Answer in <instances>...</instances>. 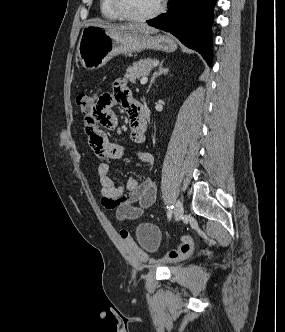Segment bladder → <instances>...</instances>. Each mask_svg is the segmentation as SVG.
<instances>
[{
    "mask_svg": "<svg viewBox=\"0 0 285 332\" xmlns=\"http://www.w3.org/2000/svg\"><path fill=\"white\" fill-rule=\"evenodd\" d=\"M136 236L139 244L149 251L156 249L160 241L158 229L147 223L138 226Z\"/></svg>",
    "mask_w": 285,
    "mask_h": 332,
    "instance_id": "1",
    "label": "bladder"
}]
</instances>
